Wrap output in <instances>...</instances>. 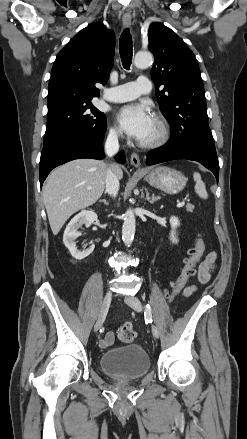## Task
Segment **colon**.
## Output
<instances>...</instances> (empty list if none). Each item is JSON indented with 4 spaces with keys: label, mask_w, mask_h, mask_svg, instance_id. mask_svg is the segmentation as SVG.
<instances>
[{
    "label": "colon",
    "mask_w": 247,
    "mask_h": 439,
    "mask_svg": "<svg viewBox=\"0 0 247 439\" xmlns=\"http://www.w3.org/2000/svg\"><path fill=\"white\" fill-rule=\"evenodd\" d=\"M204 241L200 235L195 239L194 246L188 251L189 257L186 263L177 277V279L171 283L170 290L166 292V298L172 301L174 297L184 288L189 279L195 275L196 268L198 267L200 260L204 253ZM118 338L123 343H131L136 338V332L131 323H125L118 331Z\"/></svg>",
    "instance_id": "colon-1"
}]
</instances>
